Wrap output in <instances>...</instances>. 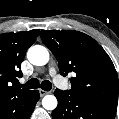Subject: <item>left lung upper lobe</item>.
I'll return each mask as SVG.
<instances>
[{
    "instance_id": "left-lung-upper-lobe-1",
    "label": "left lung upper lobe",
    "mask_w": 119,
    "mask_h": 119,
    "mask_svg": "<svg viewBox=\"0 0 119 119\" xmlns=\"http://www.w3.org/2000/svg\"><path fill=\"white\" fill-rule=\"evenodd\" d=\"M41 39L55 55L62 76L73 73L68 93L117 106L118 77L113 62L90 36L78 31L43 30Z\"/></svg>"
}]
</instances>
